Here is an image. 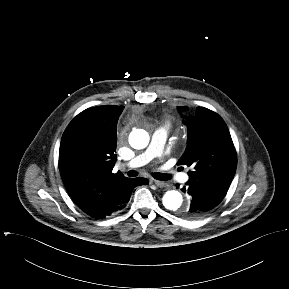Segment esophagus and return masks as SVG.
<instances>
[{"mask_svg":"<svg viewBox=\"0 0 289 289\" xmlns=\"http://www.w3.org/2000/svg\"><path fill=\"white\" fill-rule=\"evenodd\" d=\"M154 184L157 186V187H160V188H163V187H166L167 186V183L164 182V181H159V180H153Z\"/></svg>","mask_w":289,"mask_h":289,"instance_id":"34e87169","label":"esophagus"}]
</instances>
